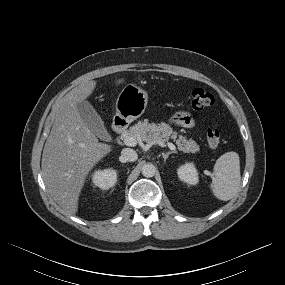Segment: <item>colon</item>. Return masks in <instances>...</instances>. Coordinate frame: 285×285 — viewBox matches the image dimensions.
Masks as SVG:
<instances>
[{
    "label": "colon",
    "instance_id": "5ec220e1",
    "mask_svg": "<svg viewBox=\"0 0 285 285\" xmlns=\"http://www.w3.org/2000/svg\"><path fill=\"white\" fill-rule=\"evenodd\" d=\"M214 103V97L208 91L202 88H196L191 94V105L195 110H203ZM207 142L211 147H217L222 138L221 130L217 127H212L207 130Z\"/></svg>",
    "mask_w": 285,
    "mask_h": 285
}]
</instances>
